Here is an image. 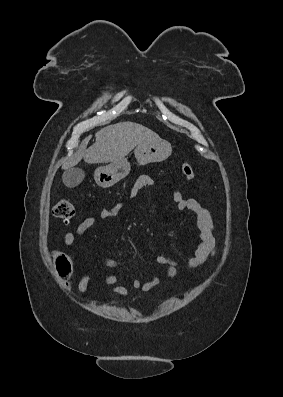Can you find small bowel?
I'll use <instances>...</instances> for the list:
<instances>
[{"instance_id":"c3829d8e","label":"small bowel","mask_w":283,"mask_h":397,"mask_svg":"<svg viewBox=\"0 0 283 397\" xmlns=\"http://www.w3.org/2000/svg\"><path fill=\"white\" fill-rule=\"evenodd\" d=\"M155 185V181L147 175L137 178L130 190V196H135L139 190L146 186ZM172 197L179 210L191 211L196 217V225L199 230V243L193 251L189 259V267L197 268L211 259L216 253V243L214 238V223L210 212L194 198H184L182 194L172 189ZM123 208L122 202L100 210L98 213L85 218L76 228L74 232H67L64 237V243L67 247H71L78 237L83 236L98 220L118 218ZM156 262L159 265H166V277L174 278L177 275L178 260L168 256H158ZM122 262L114 259H106L103 266L106 268H117ZM90 275H84L79 283L78 290L81 294L86 295L90 283L93 281ZM105 285L112 286L113 291L119 295H126L127 289L119 283L118 277L109 275L102 279ZM159 279L154 277L147 282L142 283L139 279L132 280V287L141 289L143 292H151L158 285Z\"/></svg>"}]
</instances>
